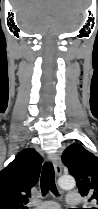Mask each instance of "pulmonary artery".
<instances>
[{"mask_svg": "<svg viewBox=\"0 0 98 209\" xmlns=\"http://www.w3.org/2000/svg\"><path fill=\"white\" fill-rule=\"evenodd\" d=\"M66 203L71 206H77L81 203L79 194L76 192H69L66 196ZM35 209H60V205L53 201H47L37 206Z\"/></svg>", "mask_w": 98, "mask_h": 209, "instance_id": "e3ab8cb5", "label": "pulmonary artery"}]
</instances>
